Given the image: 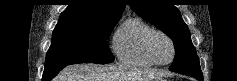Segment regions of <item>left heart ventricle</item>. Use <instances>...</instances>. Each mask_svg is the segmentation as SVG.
<instances>
[{
  "label": "left heart ventricle",
  "mask_w": 237,
  "mask_h": 81,
  "mask_svg": "<svg viewBox=\"0 0 237 81\" xmlns=\"http://www.w3.org/2000/svg\"><path fill=\"white\" fill-rule=\"evenodd\" d=\"M153 51L155 57L160 62H166L172 55V48L167 39L162 36H156L153 40Z\"/></svg>",
  "instance_id": "1"
}]
</instances>
